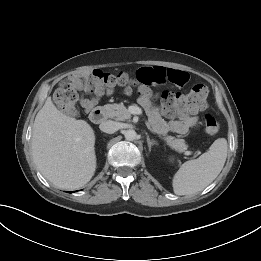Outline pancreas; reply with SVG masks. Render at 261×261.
Segmentation results:
<instances>
[{
    "instance_id": "obj_1",
    "label": "pancreas",
    "mask_w": 261,
    "mask_h": 261,
    "mask_svg": "<svg viewBox=\"0 0 261 261\" xmlns=\"http://www.w3.org/2000/svg\"><path fill=\"white\" fill-rule=\"evenodd\" d=\"M104 109L107 112L108 117L118 120L125 121L131 118V114L128 109L122 104H107L104 106ZM152 130L162 136L166 141L167 145L179 153L187 152L188 146L185 144L184 139H178L172 136H168L165 131L161 130L155 121L150 122Z\"/></svg>"
}]
</instances>
